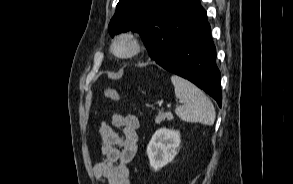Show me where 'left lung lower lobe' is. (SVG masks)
Masks as SVG:
<instances>
[{
    "mask_svg": "<svg viewBox=\"0 0 293 184\" xmlns=\"http://www.w3.org/2000/svg\"><path fill=\"white\" fill-rule=\"evenodd\" d=\"M152 59L164 69L193 82L221 106L216 49L211 38L207 13L199 0H183L173 11L159 52Z\"/></svg>",
    "mask_w": 293,
    "mask_h": 184,
    "instance_id": "1",
    "label": "left lung lower lobe"
}]
</instances>
